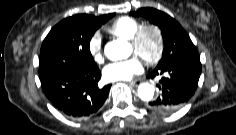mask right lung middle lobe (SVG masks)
<instances>
[{
    "mask_svg": "<svg viewBox=\"0 0 236 135\" xmlns=\"http://www.w3.org/2000/svg\"><path fill=\"white\" fill-rule=\"evenodd\" d=\"M115 13L102 17L78 14L60 21L44 39L40 51V67L63 65L71 60L86 66L96 64L90 52V40L95 31Z\"/></svg>",
    "mask_w": 236,
    "mask_h": 135,
    "instance_id": "right-lung-middle-lobe-1",
    "label": "right lung middle lobe"
}]
</instances>
